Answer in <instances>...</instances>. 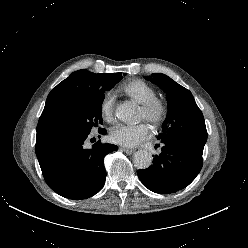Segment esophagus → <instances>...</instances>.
Returning <instances> with one entry per match:
<instances>
[{"mask_svg":"<svg viewBox=\"0 0 248 248\" xmlns=\"http://www.w3.org/2000/svg\"><path fill=\"white\" fill-rule=\"evenodd\" d=\"M122 150L124 152H126L127 154H132L135 151L134 149H130V148H126V147H122Z\"/></svg>","mask_w":248,"mask_h":248,"instance_id":"obj_1","label":"esophagus"}]
</instances>
